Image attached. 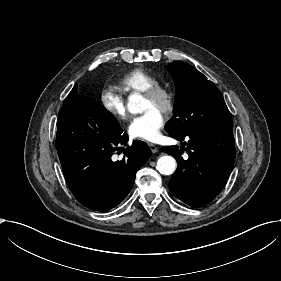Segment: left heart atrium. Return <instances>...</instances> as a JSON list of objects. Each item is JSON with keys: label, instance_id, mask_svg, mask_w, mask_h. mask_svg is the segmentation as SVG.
Returning a JSON list of instances; mask_svg holds the SVG:
<instances>
[{"label": "left heart atrium", "instance_id": "left-heart-atrium-1", "mask_svg": "<svg viewBox=\"0 0 281 281\" xmlns=\"http://www.w3.org/2000/svg\"><path fill=\"white\" fill-rule=\"evenodd\" d=\"M164 118L160 111L148 109L143 114L133 118L128 127V134L147 142H157L161 139Z\"/></svg>", "mask_w": 281, "mask_h": 281}]
</instances>
